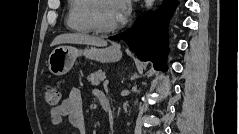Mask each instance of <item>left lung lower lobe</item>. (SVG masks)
<instances>
[{
  "label": "left lung lower lobe",
  "mask_w": 239,
  "mask_h": 134,
  "mask_svg": "<svg viewBox=\"0 0 239 134\" xmlns=\"http://www.w3.org/2000/svg\"><path fill=\"white\" fill-rule=\"evenodd\" d=\"M176 4L177 0H165L156 16L140 17L131 29L109 38L124 40L140 60H150L155 69L166 71V25Z\"/></svg>",
  "instance_id": "left-lung-lower-lobe-1"
}]
</instances>
